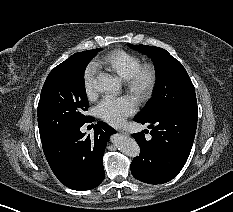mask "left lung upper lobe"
<instances>
[{
    "label": "left lung upper lobe",
    "instance_id": "1",
    "mask_svg": "<svg viewBox=\"0 0 233 212\" xmlns=\"http://www.w3.org/2000/svg\"><path fill=\"white\" fill-rule=\"evenodd\" d=\"M128 45L149 56L156 70V84L152 98L136 117L150 116L166 109L197 113L194 86L178 60L159 47Z\"/></svg>",
    "mask_w": 233,
    "mask_h": 212
}]
</instances>
